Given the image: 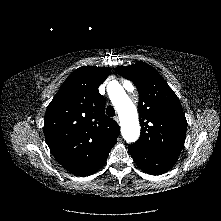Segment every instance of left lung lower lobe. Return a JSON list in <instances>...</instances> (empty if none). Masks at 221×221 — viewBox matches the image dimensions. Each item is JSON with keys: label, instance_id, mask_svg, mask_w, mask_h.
I'll return each instance as SVG.
<instances>
[{"label": "left lung lower lobe", "instance_id": "obj_1", "mask_svg": "<svg viewBox=\"0 0 221 221\" xmlns=\"http://www.w3.org/2000/svg\"><path fill=\"white\" fill-rule=\"evenodd\" d=\"M128 148L137 166L151 175L167 172L177 161V158L155 153L137 143L129 145Z\"/></svg>", "mask_w": 221, "mask_h": 221}]
</instances>
